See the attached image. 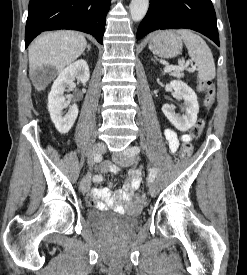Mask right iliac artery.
Segmentation results:
<instances>
[{
	"mask_svg": "<svg viewBox=\"0 0 247 275\" xmlns=\"http://www.w3.org/2000/svg\"><path fill=\"white\" fill-rule=\"evenodd\" d=\"M94 161L95 162H100L101 161V155H95L94 156ZM94 182H101L102 181V176L101 175H95L93 177Z\"/></svg>",
	"mask_w": 247,
	"mask_h": 275,
	"instance_id": "right-iliac-artery-1",
	"label": "right iliac artery"
}]
</instances>
